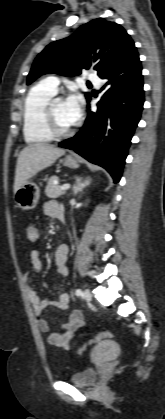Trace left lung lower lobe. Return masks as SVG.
Segmentation results:
<instances>
[{"mask_svg":"<svg viewBox=\"0 0 165 419\" xmlns=\"http://www.w3.org/2000/svg\"><path fill=\"white\" fill-rule=\"evenodd\" d=\"M141 62L136 48L102 76L107 80L96 111H89L85 124L59 146L72 149L88 161L105 168L114 182L121 178L134 130L144 103Z\"/></svg>","mask_w":165,"mask_h":419,"instance_id":"obj_1","label":"left lung lower lobe"}]
</instances>
